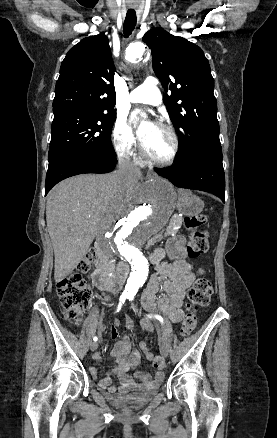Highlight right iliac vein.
I'll use <instances>...</instances> for the list:
<instances>
[{
	"label": "right iliac vein",
	"instance_id": "63e3f726",
	"mask_svg": "<svg viewBox=\"0 0 277 438\" xmlns=\"http://www.w3.org/2000/svg\"><path fill=\"white\" fill-rule=\"evenodd\" d=\"M98 347V343L97 342H92L90 345V349L91 351H95Z\"/></svg>",
	"mask_w": 277,
	"mask_h": 438
}]
</instances>
